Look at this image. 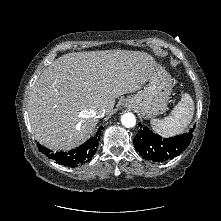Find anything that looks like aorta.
Listing matches in <instances>:
<instances>
[{
  "label": "aorta",
  "instance_id": "aorta-1",
  "mask_svg": "<svg viewBox=\"0 0 221 221\" xmlns=\"http://www.w3.org/2000/svg\"><path fill=\"white\" fill-rule=\"evenodd\" d=\"M121 122L125 127L132 128L136 124V118H135L134 114L131 112L125 113L121 117Z\"/></svg>",
  "mask_w": 221,
  "mask_h": 221
}]
</instances>
